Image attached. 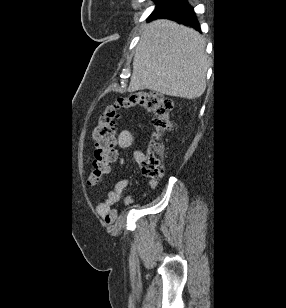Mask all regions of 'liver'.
<instances>
[{
  "instance_id": "liver-1",
  "label": "liver",
  "mask_w": 286,
  "mask_h": 308,
  "mask_svg": "<svg viewBox=\"0 0 286 308\" xmlns=\"http://www.w3.org/2000/svg\"><path fill=\"white\" fill-rule=\"evenodd\" d=\"M205 40L194 29L167 19L145 25L136 47L129 92L148 89L195 99L206 89Z\"/></svg>"
}]
</instances>
